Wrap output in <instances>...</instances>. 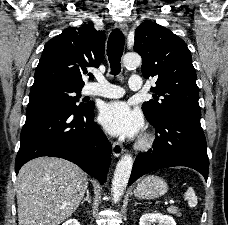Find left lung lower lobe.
<instances>
[{
	"instance_id": "left-lung-lower-lobe-1",
	"label": "left lung lower lobe",
	"mask_w": 228,
	"mask_h": 225,
	"mask_svg": "<svg viewBox=\"0 0 228 225\" xmlns=\"http://www.w3.org/2000/svg\"><path fill=\"white\" fill-rule=\"evenodd\" d=\"M150 123L157 130L155 144L137 155L128 185L144 174L172 166L193 168L207 181L209 161L200 117L173 113Z\"/></svg>"
}]
</instances>
